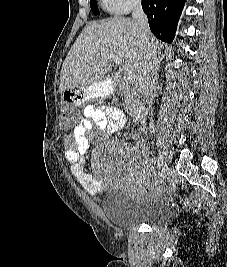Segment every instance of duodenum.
<instances>
[{
    "mask_svg": "<svg viewBox=\"0 0 227 267\" xmlns=\"http://www.w3.org/2000/svg\"><path fill=\"white\" fill-rule=\"evenodd\" d=\"M111 81L118 88H121L122 78L119 74H114L111 77ZM144 111L145 107L143 104H138L129 108V112L134 120H139L143 116Z\"/></svg>",
    "mask_w": 227,
    "mask_h": 267,
    "instance_id": "obj_1",
    "label": "duodenum"
}]
</instances>
